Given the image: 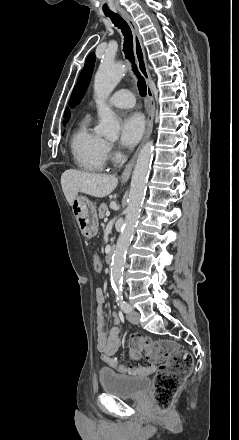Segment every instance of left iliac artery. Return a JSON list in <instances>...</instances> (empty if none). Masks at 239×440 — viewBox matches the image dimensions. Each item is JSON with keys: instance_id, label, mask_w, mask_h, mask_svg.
I'll list each match as a JSON object with an SVG mask.
<instances>
[{"instance_id": "44dca946", "label": "left iliac artery", "mask_w": 239, "mask_h": 440, "mask_svg": "<svg viewBox=\"0 0 239 440\" xmlns=\"http://www.w3.org/2000/svg\"><path fill=\"white\" fill-rule=\"evenodd\" d=\"M114 290L116 293V301L119 307L121 308V310L125 313L131 312L132 310L131 306L123 299L122 287H114Z\"/></svg>"}]
</instances>
